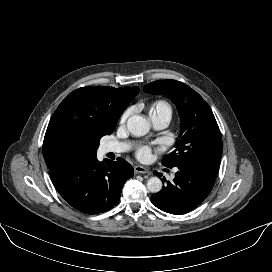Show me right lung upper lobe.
Returning a JSON list of instances; mask_svg holds the SVG:
<instances>
[{"instance_id":"cb5924a9","label":"right lung upper lobe","mask_w":272,"mask_h":272,"mask_svg":"<svg viewBox=\"0 0 272 272\" xmlns=\"http://www.w3.org/2000/svg\"><path fill=\"white\" fill-rule=\"evenodd\" d=\"M139 92L138 87L86 86L70 93L51 117L43 141L49 169L96 153L119 117Z\"/></svg>"}]
</instances>
